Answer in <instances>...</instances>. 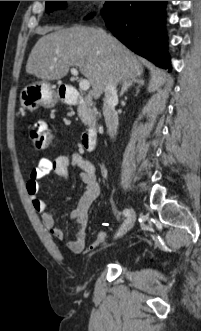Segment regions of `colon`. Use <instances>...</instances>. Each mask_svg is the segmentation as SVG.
I'll list each match as a JSON object with an SVG mask.
<instances>
[{"label":"colon","instance_id":"obj_1","mask_svg":"<svg viewBox=\"0 0 201 331\" xmlns=\"http://www.w3.org/2000/svg\"><path fill=\"white\" fill-rule=\"evenodd\" d=\"M30 138L37 149L48 148L53 140V135L44 121H37L30 128Z\"/></svg>","mask_w":201,"mask_h":331}]
</instances>
